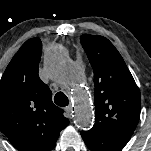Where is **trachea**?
Listing matches in <instances>:
<instances>
[{
  "label": "trachea",
  "instance_id": "trachea-1",
  "mask_svg": "<svg viewBox=\"0 0 151 151\" xmlns=\"http://www.w3.org/2000/svg\"><path fill=\"white\" fill-rule=\"evenodd\" d=\"M54 102L60 107H65L69 104L67 96L63 92H58L54 97Z\"/></svg>",
  "mask_w": 151,
  "mask_h": 151
}]
</instances>
